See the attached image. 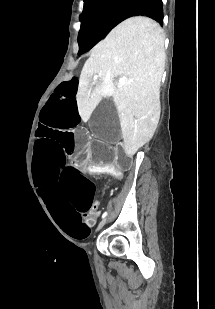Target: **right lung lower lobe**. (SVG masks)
I'll return each mask as SVG.
<instances>
[{"label": "right lung lower lobe", "mask_w": 215, "mask_h": 309, "mask_svg": "<svg viewBox=\"0 0 215 309\" xmlns=\"http://www.w3.org/2000/svg\"><path fill=\"white\" fill-rule=\"evenodd\" d=\"M133 16H146L160 24L163 23L162 0H130L126 8L115 22V26Z\"/></svg>", "instance_id": "obj_1"}]
</instances>
